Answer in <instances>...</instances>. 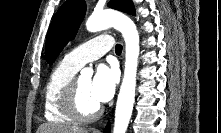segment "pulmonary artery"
I'll return each mask as SVG.
<instances>
[{
	"label": "pulmonary artery",
	"mask_w": 221,
	"mask_h": 133,
	"mask_svg": "<svg viewBox=\"0 0 221 133\" xmlns=\"http://www.w3.org/2000/svg\"><path fill=\"white\" fill-rule=\"evenodd\" d=\"M112 46L111 37L107 34H102L67 53L64 60L77 68H81L86 63L103 56Z\"/></svg>",
	"instance_id": "e3ab8cb5"
}]
</instances>
